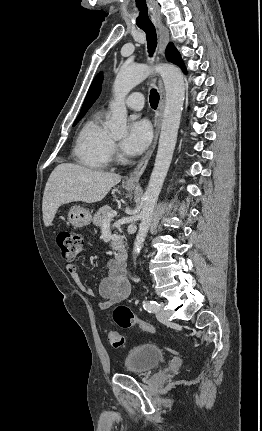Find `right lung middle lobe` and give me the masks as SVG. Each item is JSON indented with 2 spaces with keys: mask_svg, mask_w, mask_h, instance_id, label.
Returning a JSON list of instances; mask_svg holds the SVG:
<instances>
[{
  "mask_svg": "<svg viewBox=\"0 0 262 431\" xmlns=\"http://www.w3.org/2000/svg\"><path fill=\"white\" fill-rule=\"evenodd\" d=\"M84 115H80L77 117V119L75 120L73 126H75L77 124V122L83 117Z\"/></svg>",
  "mask_w": 262,
  "mask_h": 431,
  "instance_id": "dd1d6c3e",
  "label": "right lung middle lobe"
}]
</instances>
